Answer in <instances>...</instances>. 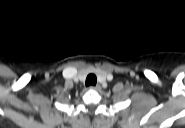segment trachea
<instances>
[{
    "mask_svg": "<svg viewBox=\"0 0 185 128\" xmlns=\"http://www.w3.org/2000/svg\"><path fill=\"white\" fill-rule=\"evenodd\" d=\"M97 83V77L95 74H89L86 78V86H95Z\"/></svg>",
    "mask_w": 185,
    "mask_h": 128,
    "instance_id": "1",
    "label": "trachea"
}]
</instances>
